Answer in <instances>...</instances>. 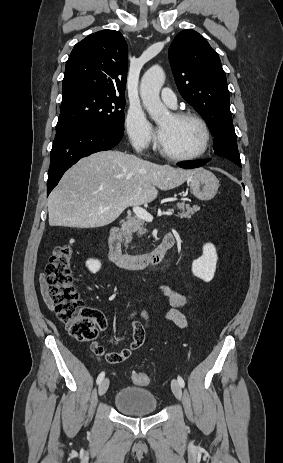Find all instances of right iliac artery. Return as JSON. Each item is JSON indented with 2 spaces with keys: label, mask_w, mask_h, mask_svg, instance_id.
Masks as SVG:
<instances>
[{
  "label": "right iliac artery",
  "mask_w": 283,
  "mask_h": 463,
  "mask_svg": "<svg viewBox=\"0 0 283 463\" xmlns=\"http://www.w3.org/2000/svg\"><path fill=\"white\" fill-rule=\"evenodd\" d=\"M104 377H105V373H104V372H101V373L99 374V376L97 377V381H96L97 384L101 383V381L104 379Z\"/></svg>",
  "instance_id": "1"
}]
</instances>
